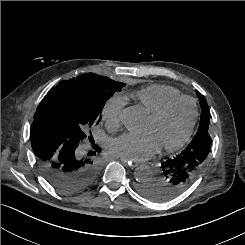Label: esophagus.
<instances>
[{"mask_svg":"<svg viewBox=\"0 0 245 245\" xmlns=\"http://www.w3.org/2000/svg\"><path fill=\"white\" fill-rule=\"evenodd\" d=\"M120 160L126 165V167H128L130 169H134L139 165L138 163H136L132 160L125 159V158H120Z\"/></svg>","mask_w":245,"mask_h":245,"instance_id":"obj_1","label":"esophagus"}]
</instances>
